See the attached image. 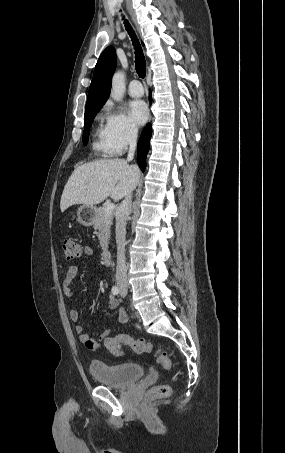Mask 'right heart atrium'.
<instances>
[{
	"label": "right heart atrium",
	"mask_w": 285,
	"mask_h": 453,
	"mask_svg": "<svg viewBox=\"0 0 285 453\" xmlns=\"http://www.w3.org/2000/svg\"><path fill=\"white\" fill-rule=\"evenodd\" d=\"M105 131L111 155L122 154L138 137V129L122 112L107 109Z\"/></svg>",
	"instance_id": "d8ad5b80"
}]
</instances>
